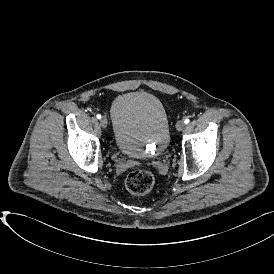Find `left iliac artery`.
I'll list each match as a JSON object with an SVG mask.
<instances>
[{
    "instance_id": "1",
    "label": "left iliac artery",
    "mask_w": 274,
    "mask_h": 274,
    "mask_svg": "<svg viewBox=\"0 0 274 274\" xmlns=\"http://www.w3.org/2000/svg\"><path fill=\"white\" fill-rule=\"evenodd\" d=\"M190 122V120L188 119V118H186L185 120H184V123L185 124H188Z\"/></svg>"
}]
</instances>
